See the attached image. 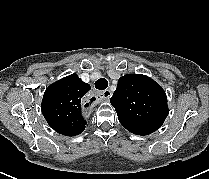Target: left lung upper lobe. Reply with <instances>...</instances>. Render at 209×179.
I'll use <instances>...</instances> for the list:
<instances>
[{"instance_id":"5c2ea615","label":"left lung upper lobe","mask_w":209,"mask_h":179,"mask_svg":"<svg viewBox=\"0 0 209 179\" xmlns=\"http://www.w3.org/2000/svg\"><path fill=\"white\" fill-rule=\"evenodd\" d=\"M110 102L123 126L146 134L159 129L169 112L165 91L154 80L141 74L120 77Z\"/></svg>"}]
</instances>
